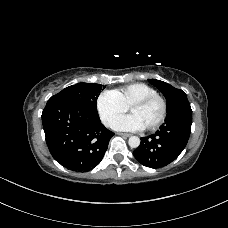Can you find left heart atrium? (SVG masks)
<instances>
[{"label":"left heart atrium","mask_w":228,"mask_h":228,"mask_svg":"<svg viewBox=\"0 0 228 228\" xmlns=\"http://www.w3.org/2000/svg\"><path fill=\"white\" fill-rule=\"evenodd\" d=\"M112 127L116 130L123 131H140L145 128L140 120L133 114L117 118L113 122Z\"/></svg>","instance_id":"1"}]
</instances>
